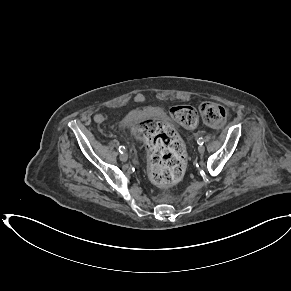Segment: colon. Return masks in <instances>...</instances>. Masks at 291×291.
I'll return each mask as SVG.
<instances>
[{
	"label": "colon",
	"instance_id": "1",
	"mask_svg": "<svg viewBox=\"0 0 291 291\" xmlns=\"http://www.w3.org/2000/svg\"><path fill=\"white\" fill-rule=\"evenodd\" d=\"M199 113L203 121L212 127L221 126L227 115L223 106L212 102L200 104ZM170 114L185 128L192 129L198 124L197 111L189 105L174 106ZM139 132L149 150V174L152 182L160 187H168L181 181L187 167V156L174 129L153 119L143 122Z\"/></svg>",
	"mask_w": 291,
	"mask_h": 291
}]
</instances>
